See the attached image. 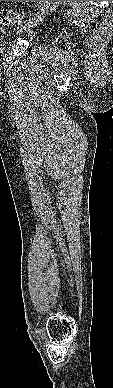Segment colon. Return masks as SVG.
<instances>
[{
	"mask_svg": "<svg viewBox=\"0 0 113 388\" xmlns=\"http://www.w3.org/2000/svg\"><path fill=\"white\" fill-rule=\"evenodd\" d=\"M21 20V15L18 13H15L11 10H5L3 11V15L0 18V21L3 24H14Z\"/></svg>",
	"mask_w": 113,
	"mask_h": 388,
	"instance_id": "colon-1",
	"label": "colon"
}]
</instances>
